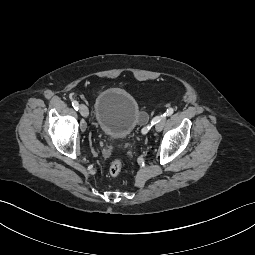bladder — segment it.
Returning <instances> with one entry per match:
<instances>
[{
	"label": "bladder",
	"instance_id": "31cf9c89",
	"mask_svg": "<svg viewBox=\"0 0 255 255\" xmlns=\"http://www.w3.org/2000/svg\"><path fill=\"white\" fill-rule=\"evenodd\" d=\"M94 118L98 129L114 139L125 138L141 123L136 98L120 87L102 90L95 101Z\"/></svg>",
	"mask_w": 255,
	"mask_h": 255
}]
</instances>
